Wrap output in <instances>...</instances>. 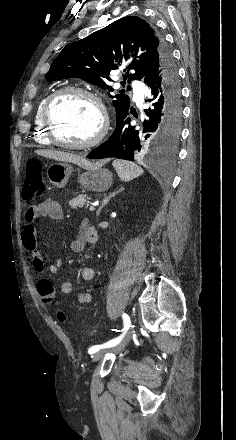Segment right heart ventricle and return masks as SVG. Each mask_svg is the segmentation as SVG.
Masks as SVG:
<instances>
[{"label":"right heart ventricle","mask_w":236,"mask_h":440,"mask_svg":"<svg viewBox=\"0 0 236 440\" xmlns=\"http://www.w3.org/2000/svg\"><path fill=\"white\" fill-rule=\"evenodd\" d=\"M49 96L50 95H47L40 100L34 113V140L41 145L52 144L44 131L41 121L42 110Z\"/></svg>","instance_id":"1"}]
</instances>
